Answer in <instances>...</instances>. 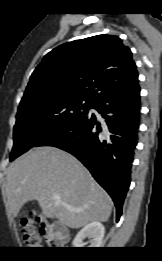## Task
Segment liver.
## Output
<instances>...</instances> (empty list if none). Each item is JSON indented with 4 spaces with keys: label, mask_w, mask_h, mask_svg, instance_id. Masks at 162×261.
Here are the masks:
<instances>
[{
    "label": "liver",
    "mask_w": 162,
    "mask_h": 261,
    "mask_svg": "<svg viewBox=\"0 0 162 261\" xmlns=\"http://www.w3.org/2000/svg\"><path fill=\"white\" fill-rule=\"evenodd\" d=\"M6 193L14 217L30 200L38 201L44 216L74 229L106 222L111 215V198L89 171L71 154L51 146L34 148L13 162Z\"/></svg>",
    "instance_id": "liver-1"
}]
</instances>
